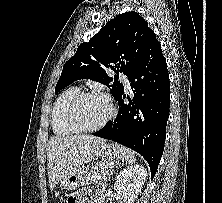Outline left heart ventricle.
Listing matches in <instances>:
<instances>
[{
	"label": "left heart ventricle",
	"mask_w": 222,
	"mask_h": 203,
	"mask_svg": "<svg viewBox=\"0 0 222 203\" xmlns=\"http://www.w3.org/2000/svg\"><path fill=\"white\" fill-rule=\"evenodd\" d=\"M108 113V103L99 97H87L83 99L77 109L80 121L87 126L101 122Z\"/></svg>",
	"instance_id": "b2bd125f"
}]
</instances>
